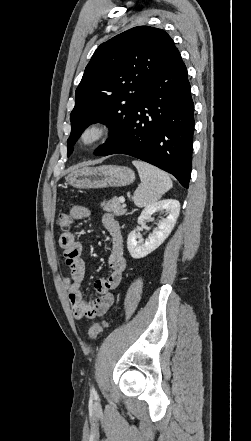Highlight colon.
Returning a JSON list of instances; mask_svg holds the SVG:
<instances>
[{
	"label": "colon",
	"mask_w": 251,
	"mask_h": 441,
	"mask_svg": "<svg viewBox=\"0 0 251 441\" xmlns=\"http://www.w3.org/2000/svg\"><path fill=\"white\" fill-rule=\"evenodd\" d=\"M73 222V217L71 213H62L57 219L58 227L65 233L69 231ZM108 326V321H101L93 324L88 330V338L94 340L98 335Z\"/></svg>",
	"instance_id": "obj_1"
}]
</instances>
